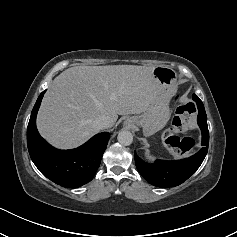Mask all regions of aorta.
Returning <instances> with one entry per match:
<instances>
[{"instance_id": "762f6f07", "label": "aorta", "mask_w": 237, "mask_h": 237, "mask_svg": "<svg viewBox=\"0 0 237 237\" xmlns=\"http://www.w3.org/2000/svg\"><path fill=\"white\" fill-rule=\"evenodd\" d=\"M117 139L121 145L129 146L133 142V135L130 131L121 130L117 136Z\"/></svg>"}]
</instances>
